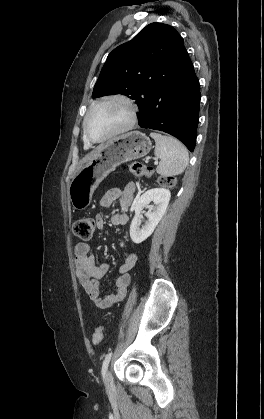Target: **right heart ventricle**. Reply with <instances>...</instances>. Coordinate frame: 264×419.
<instances>
[{"label": "right heart ventricle", "instance_id": "obj_1", "mask_svg": "<svg viewBox=\"0 0 264 419\" xmlns=\"http://www.w3.org/2000/svg\"><path fill=\"white\" fill-rule=\"evenodd\" d=\"M84 145H85V148H89L90 147V143H88L86 140H84Z\"/></svg>", "mask_w": 264, "mask_h": 419}]
</instances>
